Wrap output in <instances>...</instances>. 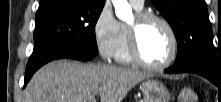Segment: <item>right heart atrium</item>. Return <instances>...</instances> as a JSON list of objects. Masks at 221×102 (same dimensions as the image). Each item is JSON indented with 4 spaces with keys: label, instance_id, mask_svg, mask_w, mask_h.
Segmentation results:
<instances>
[{
    "label": "right heart atrium",
    "instance_id": "d8ad5b80",
    "mask_svg": "<svg viewBox=\"0 0 221 102\" xmlns=\"http://www.w3.org/2000/svg\"><path fill=\"white\" fill-rule=\"evenodd\" d=\"M93 37L99 54L110 59L119 48L122 29L121 23L115 18L109 6H104L98 13L93 24Z\"/></svg>",
    "mask_w": 221,
    "mask_h": 102
}]
</instances>
